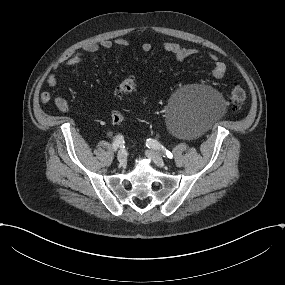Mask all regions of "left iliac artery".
<instances>
[{"instance_id": "left-iliac-artery-1", "label": "left iliac artery", "mask_w": 285, "mask_h": 285, "mask_svg": "<svg viewBox=\"0 0 285 285\" xmlns=\"http://www.w3.org/2000/svg\"><path fill=\"white\" fill-rule=\"evenodd\" d=\"M146 146L148 148L161 152L163 154V157L173 159V154L169 150H167L162 144H160L157 140L151 138L147 139Z\"/></svg>"}]
</instances>
